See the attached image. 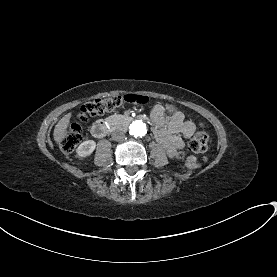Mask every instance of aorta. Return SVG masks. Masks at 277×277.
Listing matches in <instances>:
<instances>
[{
  "label": "aorta",
  "instance_id": "obj_1",
  "mask_svg": "<svg viewBox=\"0 0 277 277\" xmlns=\"http://www.w3.org/2000/svg\"><path fill=\"white\" fill-rule=\"evenodd\" d=\"M129 133L134 137H143L147 133L146 124L141 120L132 122L129 126Z\"/></svg>",
  "mask_w": 277,
  "mask_h": 277
}]
</instances>
